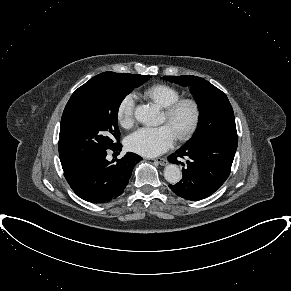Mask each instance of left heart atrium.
Segmentation results:
<instances>
[{
  "mask_svg": "<svg viewBox=\"0 0 291 291\" xmlns=\"http://www.w3.org/2000/svg\"><path fill=\"white\" fill-rule=\"evenodd\" d=\"M176 140L173 130L167 125L143 127L128 136L129 150L147 157L159 155L171 148Z\"/></svg>",
  "mask_w": 291,
  "mask_h": 291,
  "instance_id": "39dd6f15",
  "label": "left heart atrium"
}]
</instances>
